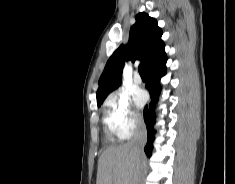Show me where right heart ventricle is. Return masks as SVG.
<instances>
[{
	"mask_svg": "<svg viewBox=\"0 0 235 184\" xmlns=\"http://www.w3.org/2000/svg\"><path fill=\"white\" fill-rule=\"evenodd\" d=\"M104 123H105V130H106V134H107V139L109 141V147H108L107 152L105 153V157L111 158L112 156L116 155L119 152L121 146L113 138V136H112L113 132H112L111 128L106 123L105 115H104Z\"/></svg>",
	"mask_w": 235,
	"mask_h": 184,
	"instance_id": "1",
	"label": "right heart ventricle"
}]
</instances>
